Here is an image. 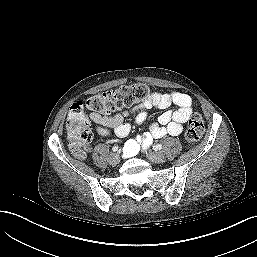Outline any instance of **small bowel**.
I'll list each match as a JSON object with an SVG mask.
<instances>
[{"instance_id": "1", "label": "small bowel", "mask_w": 257, "mask_h": 257, "mask_svg": "<svg viewBox=\"0 0 257 257\" xmlns=\"http://www.w3.org/2000/svg\"><path fill=\"white\" fill-rule=\"evenodd\" d=\"M175 105V109H168L163 112L156 121L149 125L148 131L135 140H129L124 151L126 156L137 153L141 147H148L153 139L162 138L166 135L177 136L183 131L184 123L193 112L192 99L180 92H151L148 97L133 111L136 112V122L142 124L147 119V110L151 107L167 109ZM129 115L128 111H121L113 116H105L98 113H90L89 119L94 123L96 131L101 136H108L112 132L118 137H125L130 132V125L125 122Z\"/></svg>"}]
</instances>
